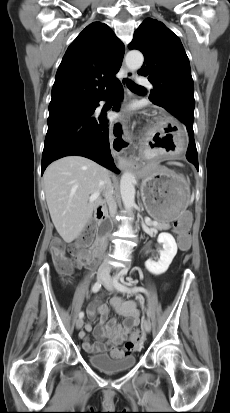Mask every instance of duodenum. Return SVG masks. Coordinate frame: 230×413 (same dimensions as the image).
Wrapping results in <instances>:
<instances>
[{"mask_svg":"<svg viewBox=\"0 0 230 413\" xmlns=\"http://www.w3.org/2000/svg\"><path fill=\"white\" fill-rule=\"evenodd\" d=\"M95 217L96 220L98 222V224L101 226V230L99 233V238L97 240V243L95 246H93V254H98L100 252V246H101V242H102V235L104 232V229L102 228L107 220H108V213L106 211V208L104 206V204L102 202H100L97 207H96V212H95Z\"/></svg>","mask_w":230,"mask_h":413,"instance_id":"410a0bca","label":"duodenum"}]
</instances>
